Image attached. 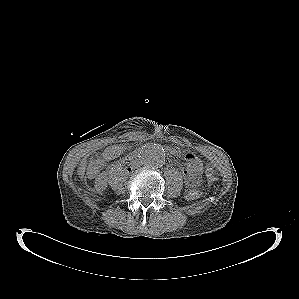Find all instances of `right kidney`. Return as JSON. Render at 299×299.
<instances>
[{
    "label": "right kidney",
    "instance_id": "obj_1",
    "mask_svg": "<svg viewBox=\"0 0 299 299\" xmlns=\"http://www.w3.org/2000/svg\"><path fill=\"white\" fill-rule=\"evenodd\" d=\"M95 187L99 191H102L107 187V183L103 175H99L96 178Z\"/></svg>",
    "mask_w": 299,
    "mask_h": 299
}]
</instances>
